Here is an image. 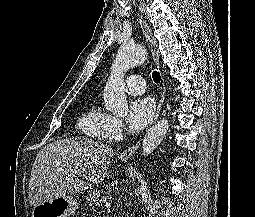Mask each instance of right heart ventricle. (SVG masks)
Masks as SVG:
<instances>
[{"instance_id": "obj_1", "label": "right heart ventricle", "mask_w": 255, "mask_h": 217, "mask_svg": "<svg viewBox=\"0 0 255 217\" xmlns=\"http://www.w3.org/2000/svg\"><path fill=\"white\" fill-rule=\"evenodd\" d=\"M108 114L100 106L92 103L78 119V127L84 135L95 140H104L105 124Z\"/></svg>"}]
</instances>
